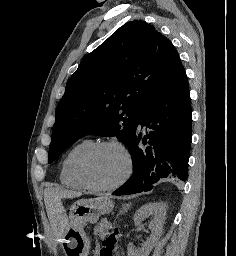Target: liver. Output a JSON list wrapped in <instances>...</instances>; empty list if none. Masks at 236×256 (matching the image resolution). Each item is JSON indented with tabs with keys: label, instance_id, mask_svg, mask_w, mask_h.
Listing matches in <instances>:
<instances>
[{
	"label": "liver",
	"instance_id": "6515ba94",
	"mask_svg": "<svg viewBox=\"0 0 236 256\" xmlns=\"http://www.w3.org/2000/svg\"><path fill=\"white\" fill-rule=\"evenodd\" d=\"M63 196H66V198H79V196H81V192L64 190V192L60 194L57 188H47L44 192V202L49 216H54L58 210L60 212L61 206L60 204H57V200H59V198H63Z\"/></svg>",
	"mask_w": 236,
	"mask_h": 256
}]
</instances>
